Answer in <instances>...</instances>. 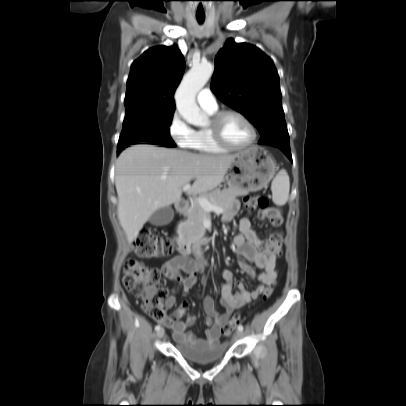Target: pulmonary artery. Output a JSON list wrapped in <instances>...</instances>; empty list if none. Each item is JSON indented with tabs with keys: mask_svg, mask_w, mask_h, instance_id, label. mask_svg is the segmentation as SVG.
I'll return each instance as SVG.
<instances>
[{
	"mask_svg": "<svg viewBox=\"0 0 406 406\" xmlns=\"http://www.w3.org/2000/svg\"><path fill=\"white\" fill-rule=\"evenodd\" d=\"M197 101L199 105L206 110L217 109V101L209 88H203L197 95Z\"/></svg>",
	"mask_w": 406,
	"mask_h": 406,
	"instance_id": "pulmonary-artery-1",
	"label": "pulmonary artery"
}]
</instances>
